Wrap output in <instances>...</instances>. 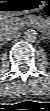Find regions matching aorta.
I'll return each mask as SVG.
<instances>
[{
    "mask_svg": "<svg viewBox=\"0 0 50 111\" xmlns=\"http://www.w3.org/2000/svg\"><path fill=\"white\" fill-rule=\"evenodd\" d=\"M24 38L28 42H34L37 38V32L33 29H29L24 33Z\"/></svg>",
    "mask_w": 50,
    "mask_h": 111,
    "instance_id": "obj_1",
    "label": "aorta"
}]
</instances>
